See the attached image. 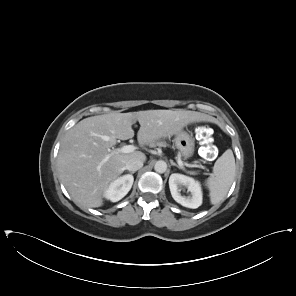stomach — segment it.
<instances>
[{
	"mask_svg": "<svg viewBox=\"0 0 296 296\" xmlns=\"http://www.w3.org/2000/svg\"><path fill=\"white\" fill-rule=\"evenodd\" d=\"M174 141L177 149L184 158L187 159L192 157L195 149V142L191 135L181 130L175 134Z\"/></svg>",
	"mask_w": 296,
	"mask_h": 296,
	"instance_id": "stomach-1",
	"label": "stomach"
}]
</instances>
